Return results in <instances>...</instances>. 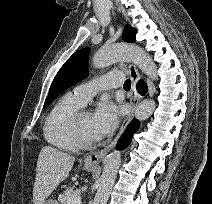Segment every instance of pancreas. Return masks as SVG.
<instances>
[{
	"mask_svg": "<svg viewBox=\"0 0 212 204\" xmlns=\"http://www.w3.org/2000/svg\"><path fill=\"white\" fill-rule=\"evenodd\" d=\"M79 194L80 193L77 190H74L73 188H68L65 190L64 193L59 195L58 201H60L61 204H67L70 198L79 196Z\"/></svg>",
	"mask_w": 212,
	"mask_h": 204,
	"instance_id": "1",
	"label": "pancreas"
}]
</instances>
